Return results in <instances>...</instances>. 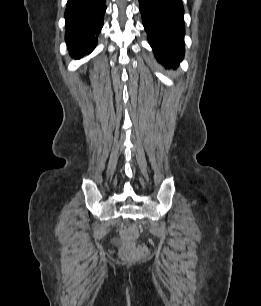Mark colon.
Returning a JSON list of instances; mask_svg holds the SVG:
<instances>
[{
    "mask_svg": "<svg viewBox=\"0 0 261 306\" xmlns=\"http://www.w3.org/2000/svg\"><path fill=\"white\" fill-rule=\"evenodd\" d=\"M137 230L133 226H126L121 229L120 237L122 245L120 248V255L126 260H138L145 256L146 249L137 244L135 239Z\"/></svg>",
    "mask_w": 261,
    "mask_h": 306,
    "instance_id": "1",
    "label": "colon"
}]
</instances>
